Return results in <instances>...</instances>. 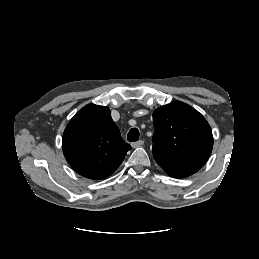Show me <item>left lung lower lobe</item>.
<instances>
[{
  "instance_id": "obj_1",
  "label": "left lung lower lobe",
  "mask_w": 259,
  "mask_h": 259,
  "mask_svg": "<svg viewBox=\"0 0 259 259\" xmlns=\"http://www.w3.org/2000/svg\"><path fill=\"white\" fill-rule=\"evenodd\" d=\"M161 168L171 177L183 178L197 172L202 166L195 164H177L162 160H156Z\"/></svg>"
}]
</instances>
